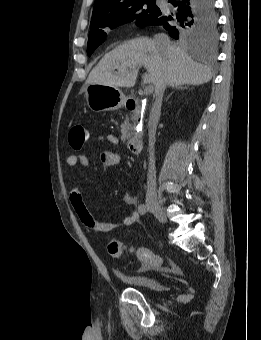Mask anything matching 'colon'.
<instances>
[{"instance_id":"5ec220e1","label":"colon","mask_w":261,"mask_h":340,"mask_svg":"<svg viewBox=\"0 0 261 340\" xmlns=\"http://www.w3.org/2000/svg\"><path fill=\"white\" fill-rule=\"evenodd\" d=\"M87 140V130L81 124H73L68 130V141L73 149H80ZM129 250L133 252L139 261L147 267L158 268L164 271L178 273L180 269L171 260L163 259L144 247L126 248L119 240H112L108 244V252L113 258H122L124 253Z\"/></svg>"}]
</instances>
